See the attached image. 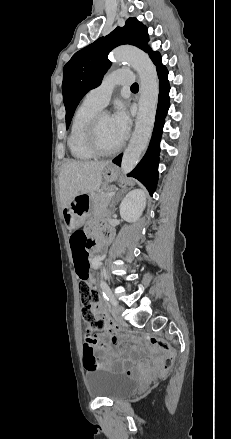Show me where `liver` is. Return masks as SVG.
Masks as SVG:
<instances>
[{"mask_svg":"<svg viewBox=\"0 0 231 439\" xmlns=\"http://www.w3.org/2000/svg\"><path fill=\"white\" fill-rule=\"evenodd\" d=\"M108 164L106 161H66L59 176L62 208L80 193L97 191L102 184V171Z\"/></svg>","mask_w":231,"mask_h":439,"instance_id":"liver-1","label":"liver"}]
</instances>
